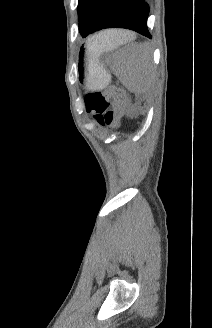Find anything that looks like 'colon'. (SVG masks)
<instances>
[{"mask_svg":"<svg viewBox=\"0 0 212 328\" xmlns=\"http://www.w3.org/2000/svg\"><path fill=\"white\" fill-rule=\"evenodd\" d=\"M126 94L123 89L110 87L103 91H92L85 98V109L92 114L96 122L109 128L114 119V111L126 103Z\"/></svg>","mask_w":212,"mask_h":328,"instance_id":"1","label":"colon"}]
</instances>
